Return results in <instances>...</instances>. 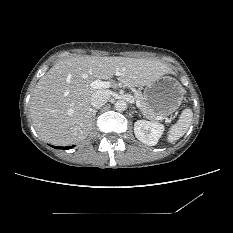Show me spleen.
<instances>
[{"instance_id": "1", "label": "spleen", "mask_w": 233, "mask_h": 233, "mask_svg": "<svg viewBox=\"0 0 233 233\" xmlns=\"http://www.w3.org/2000/svg\"><path fill=\"white\" fill-rule=\"evenodd\" d=\"M192 118V110L189 108L184 109L179 117V120L170 128L168 132V142L172 143L180 139L187 132Z\"/></svg>"}]
</instances>
